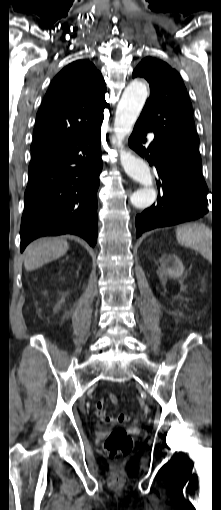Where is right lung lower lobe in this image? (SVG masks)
Segmentation results:
<instances>
[{
  "mask_svg": "<svg viewBox=\"0 0 221 510\" xmlns=\"http://www.w3.org/2000/svg\"><path fill=\"white\" fill-rule=\"evenodd\" d=\"M101 123L65 143L32 154L20 236L21 252L42 236L75 234L97 242Z\"/></svg>",
  "mask_w": 221,
  "mask_h": 510,
  "instance_id": "98d812e1",
  "label": "right lung lower lobe"
}]
</instances>
